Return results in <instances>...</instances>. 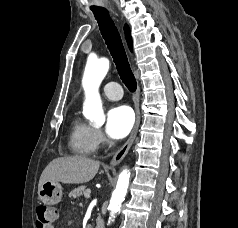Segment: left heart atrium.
Instances as JSON below:
<instances>
[{
    "label": "left heart atrium",
    "mask_w": 238,
    "mask_h": 228,
    "mask_svg": "<svg viewBox=\"0 0 238 228\" xmlns=\"http://www.w3.org/2000/svg\"><path fill=\"white\" fill-rule=\"evenodd\" d=\"M133 124L132 109L126 105H118L108 111L105 130L110 138L122 139L130 132Z\"/></svg>",
    "instance_id": "obj_1"
}]
</instances>
